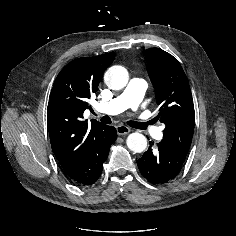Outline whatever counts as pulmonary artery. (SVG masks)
<instances>
[{"label":"pulmonary artery","mask_w":236,"mask_h":236,"mask_svg":"<svg viewBox=\"0 0 236 236\" xmlns=\"http://www.w3.org/2000/svg\"><path fill=\"white\" fill-rule=\"evenodd\" d=\"M147 87L148 84L144 79L132 78L120 95L107 103L99 104L97 110L108 115H116L128 108H136L142 100ZM140 123H144L146 129L152 132L154 136L159 137L160 130L157 127H153L149 121H141Z\"/></svg>","instance_id":"pulmonary-artery-1"}]
</instances>
